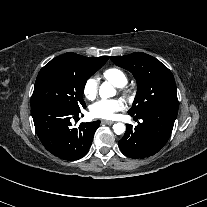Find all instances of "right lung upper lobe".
<instances>
[{
	"mask_svg": "<svg viewBox=\"0 0 207 207\" xmlns=\"http://www.w3.org/2000/svg\"><path fill=\"white\" fill-rule=\"evenodd\" d=\"M64 55H70V56H74V57H77V58L89 59V60H93V61H107L108 60L107 56H102V57H98V58H88V57H84V56H81V55H77L75 53H66Z\"/></svg>",
	"mask_w": 207,
	"mask_h": 207,
	"instance_id": "obj_1",
	"label": "right lung upper lobe"
}]
</instances>
